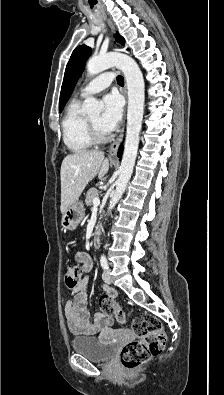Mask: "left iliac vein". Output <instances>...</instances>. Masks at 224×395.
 Segmentation results:
<instances>
[{
	"mask_svg": "<svg viewBox=\"0 0 224 395\" xmlns=\"http://www.w3.org/2000/svg\"><path fill=\"white\" fill-rule=\"evenodd\" d=\"M102 278L103 280L107 283V284H111L112 283V279L110 276V270H105L102 274Z\"/></svg>",
	"mask_w": 224,
	"mask_h": 395,
	"instance_id": "obj_1",
	"label": "left iliac vein"
}]
</instances>
